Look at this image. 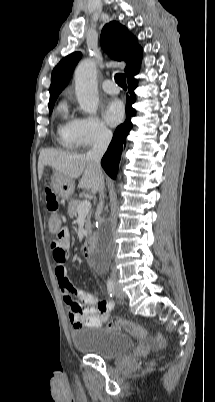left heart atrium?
<instances>
[{
    "mask_svg": "<svg viewBox=\"0 0 215 402\" xmlns=\"http://www.w3.org/2000/svg\"><path fill=\"white\" fill-rule=\"evenodd\" d=\"M103 116L109 125L115 126L119 124L124 116V106L122 102L117 99L110 100L104 107Z\"/></svg>",
    "mask_w": 215,
    "mask_h": 402,
    "instance_id": "1",
    "label": "left heart atrium"
}]
</instances>
